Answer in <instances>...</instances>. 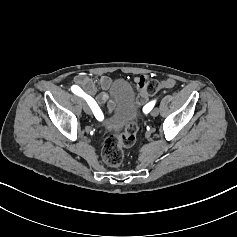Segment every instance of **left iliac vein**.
<instances>
[{
	"label": "left iliac vein",
	"mask_w": 237,
	"mask_h": 237,
	"mask_svg": "<svg viewBox=\"0 0 237 237\" xmlns=\"http://www.w3.org/2000/svg\"><path fill=\"white\" fill-rule=\"evenodd\" d=\"M159 114V109L158 108H154L151 112L152 116H157Z\"/></svg>",
	"instance_id": "1"
}]
</instances>
